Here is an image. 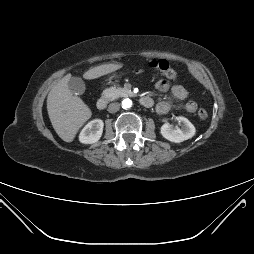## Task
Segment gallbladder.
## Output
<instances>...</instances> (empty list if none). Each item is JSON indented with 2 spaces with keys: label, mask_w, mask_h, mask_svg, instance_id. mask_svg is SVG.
<instances>
[{
  "label": "gallbladder",
  "mask_w": 254,
  "mask_h": 254,
  "mask_svg": "<svg viewBox=\"0 0 254 254\" xmlns=\"http://www.w3.org/2000/svg\"><path fill=\"white\" fill-rule=\"evenodd\" d=\"M68 88L73 94L81 95L85 91V84L79 77H71L68 81Z\"/></svg>",
  "instance_id": "obj_1"
}]
</instances>
